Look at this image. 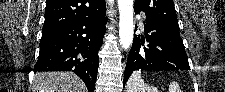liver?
Returning <instances> with one entry per match:
<instances>
[{
	"label": "liver",
	"instance_id": "liver-1",
	"mask_svg": "<svg viewBox=\"0 0 225 92\" xmlns=\"http://www.w3.org/2000/svg\"><path fill=\"white\" fill-rule=\"evenodd\" d=\"M32 92H86L83 82L71 72H38Z\"/></svg>",
	"mask_w": 225,
	"mask_h": 92
}]
</instances>
